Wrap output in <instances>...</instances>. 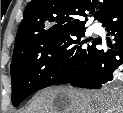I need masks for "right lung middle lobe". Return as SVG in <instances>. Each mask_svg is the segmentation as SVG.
I'll return each mask as SVG.
<instances>
[{"label":"right lung middle lobe","instance_id":"1","mask_svg":"<svg viewBox=\"0 0 123 113\" xmlns=\"http://www.w3.org/2000/svg\"><path fill=\"white\" fill-rule=\"evenodd\" d=\"M84 37L85 28L72 29L15 47L11 62L13 105L40 89L76 79L100 42L99 38Z\"/></svg>","mask_w":123,"mask_h":113}]
</instances>
